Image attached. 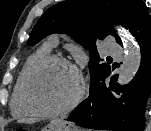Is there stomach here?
<instances>
[{
    "mask_svg": "<svg viewBox=\"0 0 151 131\" xmlns=\"http://www.w3.org/2000/svg\"><path fill=\"white\" fill-rule=\"evenodd\" d=\"M42 131H80L74 124L61 120H52Z\"/></svg>",
    "mask_w": 151,
    "mask_h": 131,
    "instance_id": "1",
    "label": "stomach"
}]
</instances>
